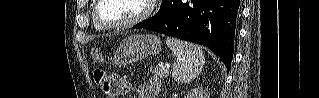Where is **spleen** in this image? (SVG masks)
I'll return each instance as SVG.
<instances>
[{"mask_svg":"<svg viewBox=\"0 0 319 98\" xmlns=\"http://www.w3.org/2000/svg\"><path fill=\"white\" fill-rule=\"evenodd\" d=\"M166 44L176 57L172 72L174 80L179 83H188L194 80L205 63L201 47L174 38H167Z\"/></svg>","mask_w":319,"mask_h":98,"instance_id":"1","label":"spleen"}]
</instances>
